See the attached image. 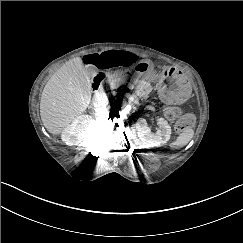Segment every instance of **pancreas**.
I'll return each mask as SVG.
<instances>
[{
    "label": "pancreas",
    "mask_w": 243,
    "mask_h": 243,
    "mask_svg": "<svg viewBox=\"0 0 243 243\" xmlns=\"http://www.w3.org/2000/svg\"><path fill=\"white\" fill-rule=\"evenodd\" d=\"M108 82H115L117 85H121L123 77L120 74H111L108 76ZM151 91L152 89L149 85L142 82L136 83L135 93L141 99H147Z\"/></svg>",
    "instance_id": "1"
}]
</instances>
